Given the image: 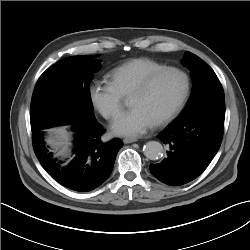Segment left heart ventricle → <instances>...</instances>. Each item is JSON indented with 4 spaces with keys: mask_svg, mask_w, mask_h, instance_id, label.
<instances>
[{
    "mask_svg": "<svg viewBox=\"0 0 250 250\" xmlns=\"http://www.w3.org/2000/svg\"><path fill=\"white\" fill-rule=\"evenodd\" d=\"M183 90V77L177 73H166L160 76L147 92L131 95L130 105L141 107L156 122L176 105Z\"/></svg>",
    "mask_w": 250,
    "mask_h": 250,
    "instance_id": "left-heart-ventricle-1",
    "label": "left heart ventricle"
}]
</instances>
